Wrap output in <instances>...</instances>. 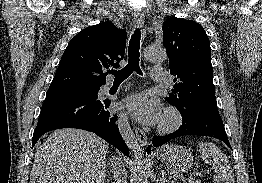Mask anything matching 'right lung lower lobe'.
I'll return each instance as SVG.
<instances>
[{"mask_svg": "<svg viewBox=\"0 0 262 183\" xmlns=\"http://www.w3.org/2000/svg\"><path fill=\"white\" fill-rule=\"evenodd\" d=\"M98 91L94 96L47 95L34 130L32 147L48 131L78 128L97 134L129 156V149L115 123L117 115L108 110L111 101L97 99Z\"/></svg>", "mask_w": 262, "mask_h": 183, "instance_id": "1", "label": "right lung lower lobe"}]
</instances>
